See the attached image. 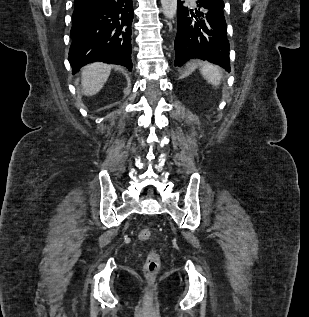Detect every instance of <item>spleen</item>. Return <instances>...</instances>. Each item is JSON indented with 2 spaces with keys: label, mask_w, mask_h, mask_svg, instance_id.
I'll list each match as a JSON object with an SVG mask.
<instances>
[{
  "label": "spleen",
  "mask_w": 309,
  "mask_h": 317,
  "mask_svg": "<svg viewBox=\"0 0 309 317\" xmlns=\"http://www.w3.org/2000/svg\"><path fill=\"white\" fill-rule=\"evenodd\" d=\"M201 74L203 77L208 81V83L212 84L213 86H219L222 75L219 71L218 67L212 64H205L201 69Z\"/></svg>",
  "instance_id": "1"
}]
</instances>
